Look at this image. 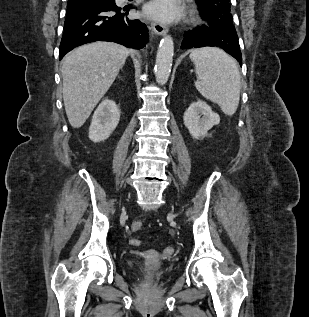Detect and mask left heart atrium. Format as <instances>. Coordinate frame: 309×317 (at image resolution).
Segmentation results:
<instances>
[{"instance_id": "left-heart-atrium-1", "label": "left heart atrium", "mask_w": 309, "mask_h": 317, "mask_svg": "<svg viewBox=\"0 0 309 317\" xmlns=\"http://www.w3.org/2000/svg\"><path fill=\"white\" fill-rule=\"evenodd\" d=\"M147 16L165 22L178 20L183 15L179 0H152L145 8Z\"/></svg>"}]
</instances>
